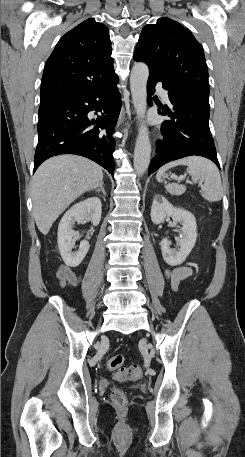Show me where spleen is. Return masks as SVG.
<instances>
[{
    "label": "spleen",
    "mask_w": 245,
    "mask_h": 457,
    "mask_svg": "<svg viewBox=\"0 0 245 457\" xmlns=\"http://www.w3.org/2000/svg\"><path fill=\"white\" fill-rule=\"evenodd\" d=\"M178 164H186V166H188L187 172L191 174L193 182L204 180V184L200 190L203 198L210 200V202H213V200H221L223 196V186L219 168H217L212 160L204 158V156H185V158L167 162V164H164V166L159 168L156 174L157 180L162 182V176L165 170L172 168V166H178ZM165 188L170 194H183L186 190L185 184H177V182L165 184Z\"/></svg>",
    "instance_id": "3e777b00"
}]
</instances>
